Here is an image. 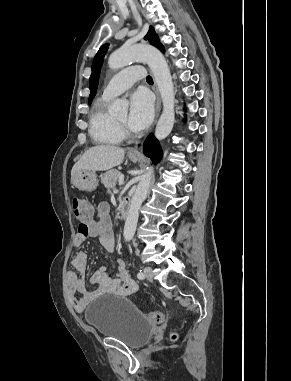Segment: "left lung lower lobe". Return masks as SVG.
Instances as JSON below:
<instances>
[{
  "instance_id": "obj_1",
  "label": "left lung lower lobe",
  "mask_w": 291,
  "mask_h": 381,
  "mask_svg": "<svg viewBox=\"0 0 291 381\" xmlns=\"http://www.w3.org/2000/svg\"><path fill=\"white\" fill-rule=\"evenodd\" d=\"M143 153L152 159L153 163H157L161 158V148L159 142L150 134L143 145Z\"/></svg>"
}]
</instances>
